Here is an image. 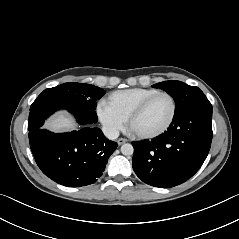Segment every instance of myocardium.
Instances as JSON below:
<instances>
[{
	"label": "myocardium",
	"instance_id": "1",
	"mask_svg": "<svg viewBox=\"0 0 239 239\" xmlns=\"http://www.w3.org/2000/svg\"><path fill=\"white\" fill-rule=\"evenodd\" d=\"M160 95L167 96L170 99L171 104H172V113H171V116H170L168 122L162 128H160L159 130L154 131V132H150V133H134V132H132L131 124H132L133 120L142 113V111L146 108V106L154 98H156ZM176 115H177V103H176V100L173 97V95L166 91H157V92L149 95L145 99H143L140 103H138L135 106V108L130 112V114L127 117V127L136 137H138L140 139H152V138L159 137L162 134H164L165 132H167L170 129V127L172 126V124L174 123Z\"/></svg>",
	"mask_w": 239,
	"mask_h": 239
}]
</instances>
